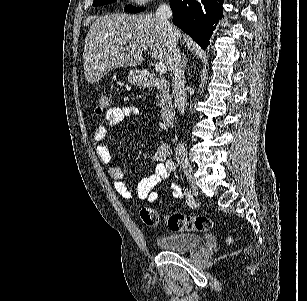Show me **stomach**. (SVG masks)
Returning <instances> with one entry per match:
<instances>
[{
	"label": "stomach",
	"instance_id": "1",
	"mask_svg": "<svg viewBox=\"0 0 307 301\" xmlns=\"http://www.w3.org/2000/svg\"><path fill=\"white\" fill-rule=\"evenodd\" d=\"M128 82L131 84H144V76L138 68H131L128 72Z\"/></svg>",
	"mask_w": 307,
	"mask_h": 301
}]
</instances>
